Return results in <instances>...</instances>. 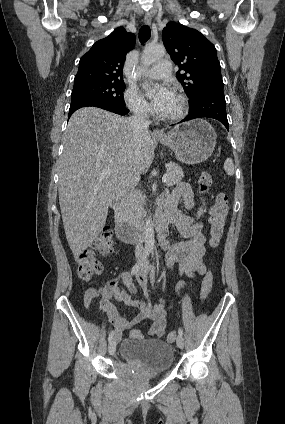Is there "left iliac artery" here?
<instances>
[{"mask_svg": "<svg viewBox=\"0 0 285 424\" xmlns=\"http://www.w3.org/2000/svg\"><path fill=\"white\" fill-rule=\"evenodd\" d=\"M152 255H153V251H152ZM151 272H153V270H151ZM178 333L181 336L183 335V329L181 327L178 329Z\"/></svg>", "mask_w": 285, "mask_h": 424, "instance_id": "obj_1", "label": "left iliac artery"}]
</instances>
